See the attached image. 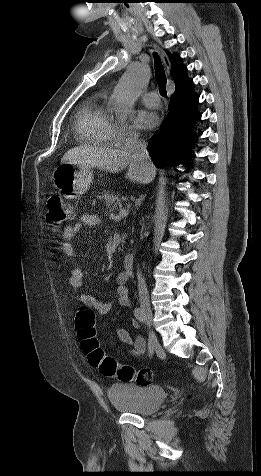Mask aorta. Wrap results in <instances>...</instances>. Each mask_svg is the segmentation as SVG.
<instances>
[{
    "instance_id": "aorta-1",
    "label": "aorta",
    "mask_w": 261,
    "mask_h": 476,
    "mask_svg": "<svg viewBox=\"0 0 261 476\" xmlns=\"http://www.w3.org/2000/svg\"><path fill=\"white\" fill-rule=\"evenodd\" d=\"M146 80V72L140 66L130 67L123 75L112 95V107L118 120H125L133 113L134 101Z\"/></svg>"
}]
</instances>
